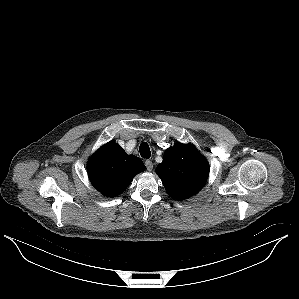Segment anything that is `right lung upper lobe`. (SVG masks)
Instances as JSON below:
<instances>
[{"mask_svg":"<svg viewBox=\"0 0 299 299\" xmlns=\"http://www.w3.org/2000/svg\"><path fill=\"white\" fill-rule=\"evenodd\" d=\"M93 186L108 197L121 194L138 173L145 170L136 156L127 155L114 141L103 145L87 164Z\"/></svg>","mask_w":299,"mask_h":299,"instance_id":"obj_1","label":"right lung upper lobe"}]
</instances>
